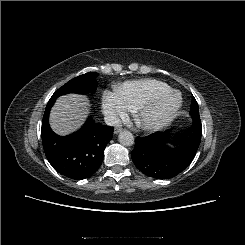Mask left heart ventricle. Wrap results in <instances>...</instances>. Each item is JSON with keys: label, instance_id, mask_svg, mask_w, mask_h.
Listing matches in <instances>:
<instances>
[{"label": "left heart ventricle", "instance_id": "b2bd125f", "mask_svg": "<svg viewBox=\"0 0 245 245\" xmlns=\"http://www.w3.org/2000/svg\"><path fill=\"white\" fill-rule=\"evenodd\" d=\"M178 101V96H173L162 103H160L152 112H150L149 116H155L157 114L164 113L168 111L171 107H173Z\"/></svg>", "mask_w": 245, "mask_h": 245}]
</instances>
